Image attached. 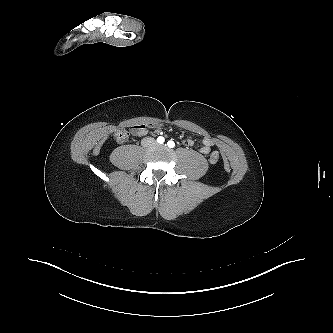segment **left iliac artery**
Here are the masks:
<instances>
[{"label":"left iliac artery","mask_w":333,"mask_h":333,"mask_svg":"<svg viewBox=\"0 0 333 333\" xmlns=\"http://www.w3.org/2000/svg\"><path fill=\"white\" fill-rule=\"evenodd\" d=\"M167 145H168V147H170V148H174V147H175V143H174V141H172V140L168 141V142H167Z\"/></svg>","instance_id":"left-iliac-artery-1"}]
</instances>
